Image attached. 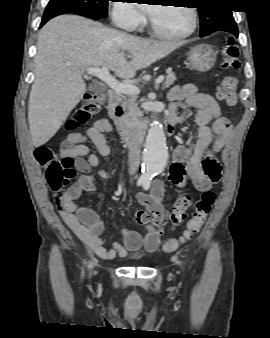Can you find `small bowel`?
I'll return each mask as SVG.
<instances>
[{
  "label": "small bowel",
  "mask_w": 270,
  "mask_h": 338,
  "mask_svg": "<svg viewBox=\"0 0 270 338\" xmlns=\"http://www.w3.org/2000/svg\"><path fill=\"white\" fill-rule=\"evenodd\" d=\"M170 120L173 125L182 122V111L185 107L195 111L194 121L197 125L196 140L189 146L178 145L174 149V161L170 165L167 176L169 182L182 186L185 175L192 179L194 187L199 192L208 191L211 185L218 181L205 173L202 161L206 156L213 158L217 164V155L225 148L230 137L231 127L224 131L216 128L217 121L221 118V110L217 101L209 94L201 92L193 83L174 86L169 95ZM210 124H213L212 128ZM113 126L107 118H100L87 130L86 133L72 132L62 143L61 156H69L81 175L66 190L58 196L59 208L62 216L70 229L79 237L86 247L104 260H112L118 255H125L127 251L138 252L144 248L147 252H155L162 234V224L165 209L162 204L164 186L161 181H154L150 195L138 193L136 198L145 207V211L135 213L137 220L142 212L150 214L151 219L145 224V235L124 229L122 231L123 243L114 241L107 248L101 239L104 230L103 222L91 211L82 209L77 205V200L84 192L95 190V175L90 170L99 164V157L91 154L85 144L90 140L97 147L101 156L110 154V147L106 141V134L110 133ZM220 169V166L218 164ZM101 178H108L110 173L100 170L97 173ZM220 177V174H219Z\"/></svg>",
  "instance_id": "obj_1"
}]
</instances>
